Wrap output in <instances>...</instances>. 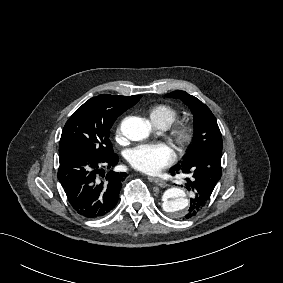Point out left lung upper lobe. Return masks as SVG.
<instances>
[{
  "mask_svg": "<svg viewBox=\"0 0 283 283\" xmlns=\"http://www.w3.org/2000/svg\"><path fill=\"white\" fill-rule=\"evenodd\" d=\"M167 97L179 98L191 109L194 116V136L189 151L180 164H188L201 154L217 150L222 151L221 132L215 116L198 98L185 91L177 90L166 94Z\"/></svg>",
  "mask_w": 283,
  "mask_h": 283,
  "instance_id": "obj_1",
  "label": "left lung upper lobe"
}]
</instances>
